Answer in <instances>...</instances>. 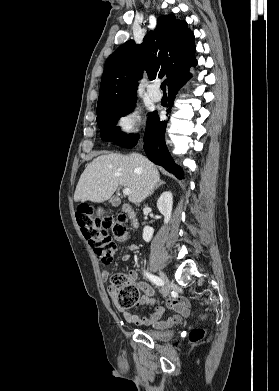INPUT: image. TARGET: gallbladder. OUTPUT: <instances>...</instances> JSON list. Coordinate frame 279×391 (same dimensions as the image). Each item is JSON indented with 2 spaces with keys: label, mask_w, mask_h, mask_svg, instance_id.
I'll return each mask as SVG.
<instances>
[{
  "label": "gallbladder",
  "mask_w": 279,
  "mask_h": 391,
  "mask_svg": "<svg viewBox=\"0 0 279 391\" xmlns=\"http://www.w3.org/2000/svg\"><path fill=\"white\" fill-rule=\"evenodd\" d=\"M112 206H119L121 201L118 198H114L110 200Z\"/></svg>",
  "instance_id": "1"
}]
</instances>
